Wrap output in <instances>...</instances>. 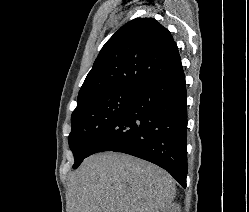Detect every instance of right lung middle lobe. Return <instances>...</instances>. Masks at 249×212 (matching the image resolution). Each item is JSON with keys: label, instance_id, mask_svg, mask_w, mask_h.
<instances>
[{"label": "right lung middle lobe", "instance_id": "right-lung-middle-lobe-1", "mask_svg": "<svg viewBox=\"0 0 249 212\" xmlns=\"http://www.w3.org/2000/svg\"><path fill=\"white\" fill-rule=\"evenodd\" d=\"M138 92L116 91L94 96L81 104L71 116L72 131L69 146L74 154L73 168H77L106 130V128L126 109Z\"/></svg>", "mask_w": 249, "mask_h": 212}]
</instances>
